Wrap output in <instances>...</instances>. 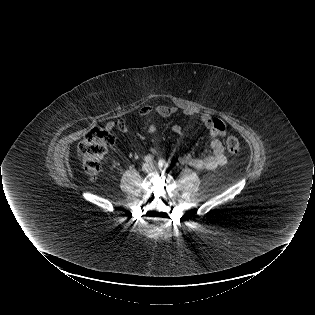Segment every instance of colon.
Listing matches in <instances>:
<instances>
[{
    "label": "colon",
    "instance_id": "obj_1",
    "mask_svg": "<svg viewBox=\"0 0 315 315\" xmlns=\"http://www.w3.org/2000/svg\"><path fill=\"white\" fill-rule=\"evenodd\" d=\"M114 143V135L105 127H96L90 130L78 147L86 173L95 178L100 171L101 163L109 147ZM226 147L230 153H237L240 149L239 140L235 136L226 139Z\"/></svg>",
    "mask_w": 315,
    "mask_h": 315
}]
</instances>
